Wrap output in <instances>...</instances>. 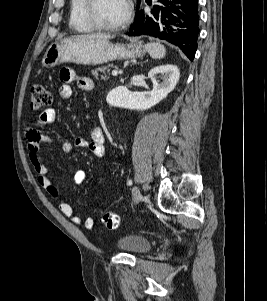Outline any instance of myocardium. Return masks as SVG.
I'll use <instances>...</instances> for the list:
<instances>
[{"label": "myocardium", "instance_id": "myocardium-1", "mask_svg": "<svg viewBox=\"0 0 267 301\" xmlns=\"http://www.w3.org/2000/svg\"><path fill=\"white\" fill-rule=\"evenodd\" d=\"M98 0H86L85 4V15L88 22L97 30L101 31H116L127 26L132 18L133 14V2L132 0H125L126 11L123 18L115 24H104L96 15V5Z\"/></svg>", "mask_w": 267, "mask_h": 301}]
</instances>
